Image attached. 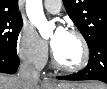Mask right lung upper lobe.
<instances>
[{
	"label": "right lung upper lobe",
	"mask_w": 107,
	"mask_h": 89,
	"mask_svg": "<svg viewBox=\"0 0 107 89\" xmlns=\"http://www.w3.org/2000/svg\"><path fill=\"white\" fill-rule=\"evenodd\" d=\"M0 16L21 17L17 0H0Z\"/></svg>",
	"instance_id": "cb5924a9"
}]
</instances>
